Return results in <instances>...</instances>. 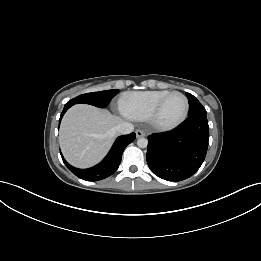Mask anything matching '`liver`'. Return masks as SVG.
<instances>
[{
  "label": "liver",
  "mask_w": 261,
  "mask_h": 261,
  "mask_svg": "<svg viewBox=\"0 0 261 261\" xmlns=\"http://www.w3.org/2000/svg\"><path fill=\"white\" fill-rule=\"evenodd\" d=\"M122 120L109 111L86 104L71 107L64 115L59 142L65 159L78 168L97 164L110 149L114 127Z\"/></svg>",
  "instance_id": "6515ba94"
}]
</instances>
